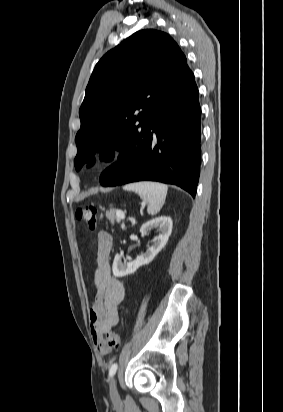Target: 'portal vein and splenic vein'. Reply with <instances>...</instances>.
I'll return each instance as SVG.
<instances>
[{
  "instance_id": "obj_1",
  "label": "portal vein and splenic vein",
  "mask_w": 283,
  "mask_h": 412,
  "mask_svg": "<svg viewBox=\"0 0 283 412\" xmlns=\"http://www.w3.org/2000/svg\"><path fill=\"white\" fill-rule=\"evenodd\" d=\"M116 215L120 219H125V214L121 210H117Z\"/></svg>"
}]
</instances>
